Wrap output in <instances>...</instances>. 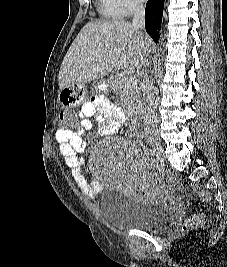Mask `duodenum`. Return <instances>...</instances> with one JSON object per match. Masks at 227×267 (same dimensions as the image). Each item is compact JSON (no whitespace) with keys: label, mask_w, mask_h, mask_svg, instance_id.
<instances>
[{"label":"duodenum","mask_w":227,"mask_h":267,"mask_svg":"<svg viewBox=\"0 0 227 267\" xmlns=\"http://www.w3.org/2000/svg\"><path fill=\"white\" fill-rule=\"evenodd\" d=\"M132 116H133L134 121H136V122H138L141 118L140 113L137 111H133Z\"/></svg>","instance_id":"410a0bca"}]
</instances>
